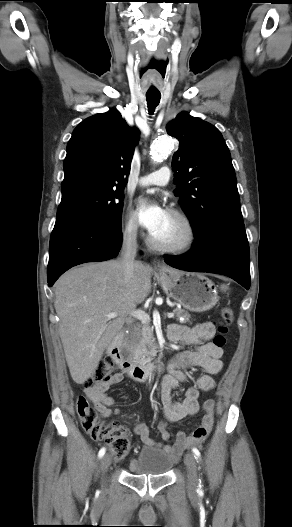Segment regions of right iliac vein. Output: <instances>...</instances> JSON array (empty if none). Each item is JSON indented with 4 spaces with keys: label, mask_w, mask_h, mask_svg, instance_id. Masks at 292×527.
I'll return each mask as SVG.
<instances>
[{
    "label": "right iliac vein",
    "mask_w": 292,
    "mask_h": 527,
    "mask_svg": "<svg viewBox=\"0 0 292 527\" xmlns=\"http://www.w3.org/2000/svg\"><path fill=\"white\" fill-rule=\"evenodd\" d=\"M110 464H111L110 456L109 455L103 456L100 462L101 470L103 473L106 472Z\"/></svg>",
    "instance_id": "63e3f726"
}]
</instances>
